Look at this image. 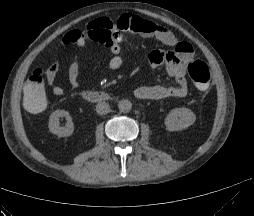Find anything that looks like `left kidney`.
Wrapping results in <instances>:
<instances>
[{
    "label": "left kidney",
    "mask_w": 254,
    "mask_h": 216,
    "mask_svg": "<svg viewBox=\"0 0 254 216\" xmlns=\"http://www.w3.org/2000/svg\"><path fill=\"white\" fill-rule=\"evenodd\" d=\"M196 120L192 110L181 107L172 109L165 118V125L168 131H179L188 128Z\"/></svg>",
    "instance_id": "obj_1"
}]
</instances>
